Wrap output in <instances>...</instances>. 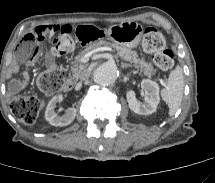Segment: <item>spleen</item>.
Segmentation results:
<instances>
[{"instance_id":"1","label":"spleen","mask_w":215,"mask_h":183,"mask_svg":"<svg viewBox=\"0 0 215 183\" xmlns=\"http://www.w3.org/2000/svg\"><path fill=\"white\" fill-rule=\"evenodd\" d=\"M184 91V77L181 67H176L168 78L167 85L161 90V97L169 107V115H174L181 105Z\"/></svg>"}]
</instances>
